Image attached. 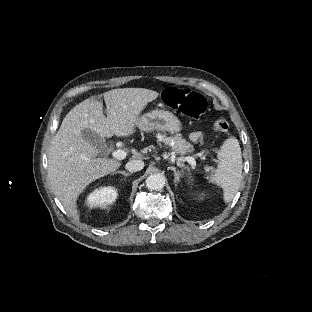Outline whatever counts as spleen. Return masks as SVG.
<instances>
[{
  "label": "spleen",
  "mask_w": 312,
  "mask_h": 312,
  "mask_svg": "<svg viewBox=\"0 0 312 312\" xmlns=\"http://www.w3.org/2000/svg\"><path fill=\"white\" fill-rule=\"evenodd\" d=\"M217 157L218 167L209 181L221 186L224 201L230 202L240 186L242 174V155L238 140L234 137L225 140Z\"/></svg>",
  "instance_id": "obj_1"
}]
</instances>
